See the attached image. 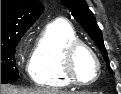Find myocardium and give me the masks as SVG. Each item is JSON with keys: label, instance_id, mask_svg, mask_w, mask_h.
<instances>
[{"label": "myocardium", "instance_id": "f54148a6", "mask_svg": "<svg viewBox=\"0 0 121 94\" xmlns=\"http://www.w3.org/2000/svg\"><path fill=\"white\" fill-rule=\"evenodd\" d=\"M81 48L86 49L93 56V58L96 62V65H97L96 77L90 81L80 80L75 73L74 60H75V56H76L77 52ZM63 71H64L66 78L72 84L86 86V85L93 84L94 82H96L99 79L101 72H102V63H101V60H100L98 54L95 52V50L90 45H88L87 43H85L82 40L77 39V40L70 42L64 50Z\"/></svg>", "mask_w": 121, "mask_h": 94}]
</instances>
